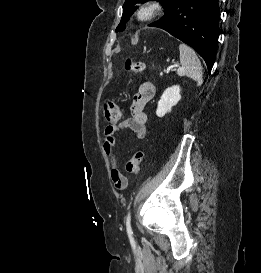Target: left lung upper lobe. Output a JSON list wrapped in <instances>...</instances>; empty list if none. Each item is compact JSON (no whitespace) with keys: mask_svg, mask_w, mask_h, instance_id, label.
<instances>
[{"mask_svg":"<svg viewBox=\"0 0 261 273\" xmlns=\"http://www.w3.org/2000/svg\"><path fill=\"white\" fill-rule=\"evenodd\" d=\"M146 0H126L123 5V15L119 25L116 28V32L123 31L126 28L125 23L129 20L133 12L138 8L136 5L138 3H143ZM160 1L165 10L175 1V0H156Z\"/></svg>","mask_w":261,"mask_h":273,"instance_id":"left-lung-upper-lobe-1","label":"left lung upper lobe"}]
</instances>
